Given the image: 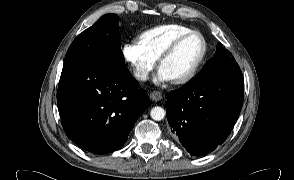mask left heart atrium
I'll use <instances>...</instances> for the list:
<instances>
[{
    "label": "left heart atrium",
    "mask_w": 294,
    "mask_h": 180,
    "mask_svg": "<svg viewBox=\"0 0 294 180\" xmlns=\"http://www.w3.org/2000/svg\"><path fill=\"white\" fill-rule=\"evenodd\" d=\"M156 80L158 82H169L171 81L170 77L166 74V72L163 69H159L157 73Z\"/></svg>",
    "instance_id": "left-heart-atrium-1"
}]
</instances>
